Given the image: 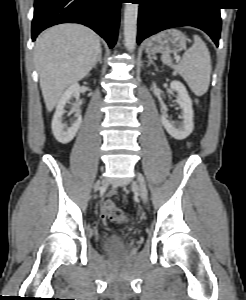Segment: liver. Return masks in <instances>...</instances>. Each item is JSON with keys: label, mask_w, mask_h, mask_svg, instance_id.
<instances>
[{"label": "liver", "mask_w": 246, "mask_h": 300, "mask_svg": "<svg viewBox=\"0 0 246 300\" xmlns=\"http://www.w3.org/2000/svg\"><path fill=\"white\" fill-rule=\"evenodd\" d=\"M100 51L99 36L83 25L60 24L39 35L34 62L48 111L53 110L69 85L88 75Z\"/></svg>", "instance_id": "6515ba94"}]
</instances>
